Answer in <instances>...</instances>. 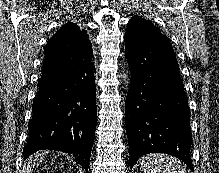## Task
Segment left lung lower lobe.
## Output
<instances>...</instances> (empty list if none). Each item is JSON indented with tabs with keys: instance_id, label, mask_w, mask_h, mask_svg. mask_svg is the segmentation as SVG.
<instances>
[{
	"instance_id": "left-lung-lower-lobe-1",
	"label": "left lung lower lobe",
	"mask_w": 219,
	"mask_h": 173,
	"mask_svg": "<svg viewBox=\"0 0 219 173\" xmlns=\"http://www.w3.org/2000/svg\"><path fill=\"white\" fill-rule=\"evenodd\" d=\"M132 79L125 103L130 167L148 153H166L193 170L188 98L169 41L125 38Z\"/></svg>"
}]
</instances>
